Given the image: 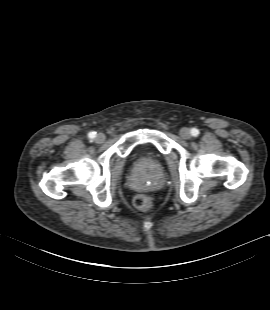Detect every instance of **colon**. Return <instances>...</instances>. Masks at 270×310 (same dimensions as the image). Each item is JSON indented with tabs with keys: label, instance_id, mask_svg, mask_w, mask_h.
Returning a JSON list of instances; mask_svg holds the SVG:
<instances>
[{
	"label": "colon",
	"instance_id": "obj_1",
	"mask_svg": "<svg viewBox=\"0 0 270 310\" xmlns=\"http://www.w3.org/2000/svg\"><path fill=\"white\" fill-rule=\"evenodd\" d=\"M134 204L139 210L149 212L154 207V199L150 195L142 194L135 198Z\"/></svg>",
	"mask_w": 270,
	"mask_h": 310
}]
</instances>
